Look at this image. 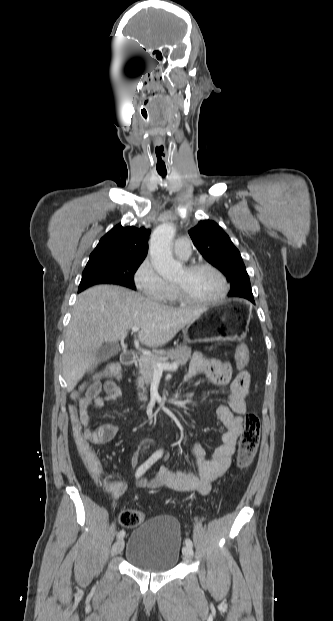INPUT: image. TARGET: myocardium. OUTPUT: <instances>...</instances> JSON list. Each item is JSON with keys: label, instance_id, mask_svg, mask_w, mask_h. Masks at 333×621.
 <instances>
[{"label": "myocardium", "instance_id": "myocardium-1", "mask_svg": "<svg viewBox=\"0 0 333 621\" xmlns=\"http://www.w3.org/2000/svg\"><path fill=\"white\" fill-rule=\"evenodd\" d=\"M185 270L188 273H193L199 270H209L212 271L213 273H215L221 280L222 282V290L221 292L214 298L212 299H207V300H197L194 299L192 297H190L183 288H181L180 286L173 284V290L174 293L176 295V297L178 298V300L180 302H183L185 304H189V305H194V306H206V305H213L216 304L220 301H222L223 299L226 298V296L229 293V289H230V285L229 282L226 278V276L224 275V273L218 269L216 266L210 264V263H206V262H199V263H193L190 264L188 266L185 267Z\"/></svg>", "mask_w": 333, "mask_h": 621}]
</instances>
